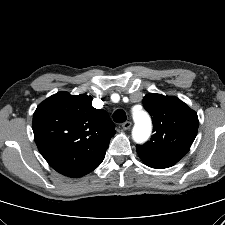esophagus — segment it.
I'll return each mask as SVG.
<instances>
[{
    "mask_svg": "<svg viewBox=\"0 0 225 225\" xmlns=\"http://www.w3.org/2000/svg\"><path fill=\"white\" fill-rule=\"evenodd\" d=\"M131 126H132V123H131V122H129V121L124 122V123L122 124V128H123L124 130H128V129H130V128H131Z\"/></svg>",
    "mask_w": 225,
    "mask_h": 225,
    "instance_id": "esophagus-1",
    "label": "esophagus"
}]
</instances>
